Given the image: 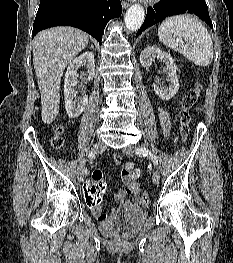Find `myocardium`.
Wrapping results in <instances>:
<instances>
[{
    "mask_svg": "<svg viewBox=\"0 0 233 263\" xmlns=\"http://www.w3.org/2000/svg\"><path fill=\"white\" fill-rule=\"evenodd\" d=\"M147 1H149V2H157L159 0H147Z\"/></svg>",
    "mask_w": 233,
    "mask_h": 263,
    "instance_id": "myocardium-1",
    "label": "myocardium"
}]
</instances>
